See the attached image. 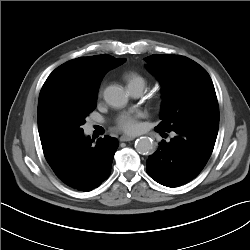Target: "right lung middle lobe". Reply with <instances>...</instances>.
<instances>
[{
    "instance_id": "right-lung-middle-lobe-1",
    "label": "right lung middle lobe",
    "mask_w": 250,
    "mask_h": 250,
    "mask_svg": "<svg viewBox=\"0 0 250 250\" xmlns=\"http://www.w3.org/2000/svg\"><path fill=\"white\" fill-rule=\"evenodd\" d=\"M95 105L96 97L82 100L61 114L53 126L51 140L82 133L81 126L86 122V116L94 110Z\"/></svg>"
}]
</instances>
